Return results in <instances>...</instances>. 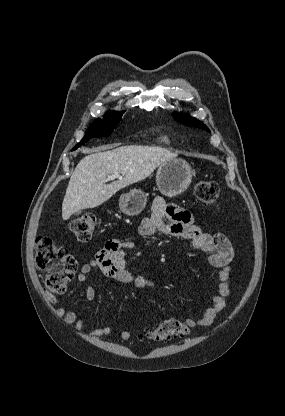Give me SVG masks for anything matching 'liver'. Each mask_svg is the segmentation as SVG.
I'll use <instances>...</instances> for the list:
<instances>
[{"label":"liver","instance_id":"6515ba94","mask_svg":"<svg viewBox=\"0 0 285 416\" xmlns=\"http://www.w3.org/2000/svg\"><path fill=\"white\" fill-rule=\"evenodd\" d=\"M115 146L118 144L99 146L93 150L82 148L83 154L89 156L80 160L70 178L62 204L63 220H68L72 214L85 208H97L110 200L121 188L145 180L158 166L177 158V154H172L165 148ZM112 174H122L123 178L106 184L107 176Z\"/></svg>","mask_w":285,"mask_h":416}]
</instances>
